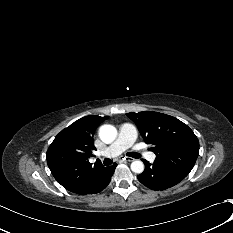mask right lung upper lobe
I'll return each mask as SVG.
<instances>
[{"mask_svg": "<svg viewBox=\"0 0 233 233\" xmlns=\"http://www.w3.org/2000/svg\"><path fill=\"white\" fill-rule=\"evenodd\" d=\"M107 117H83L59 133L47 150V164L54 178L67 190L83 195L105 168L92 165L89 157L96 150L93 134Z\"/></svg>", "mask_w": 233, "mask_h": 233, "instance_id": "right-lung-upper-lobe-1", "label": "right lung upper lobe"}]
</instances>
